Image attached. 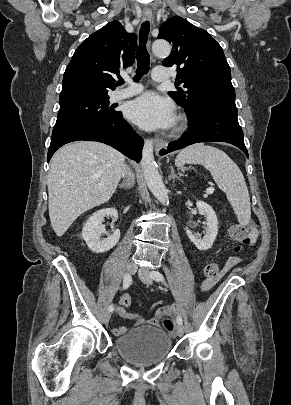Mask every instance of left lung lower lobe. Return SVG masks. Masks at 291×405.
Returning <instances> with one entry per match:
<instances>
[{
	"label": "left lung lower lobe",
	"mask_w": 291,
	"mask_h": 405,
	"mask_svg": "<svg viewBox=\"0 0 291 405\" xmlns=\"http://www.w3.org/2000/svg\"><path fill=\"white\" fill-rule=\"evenodd\" d=\"M237 113L235 98L205 99L200 104L197 114H187L191 131L179 140L171 142L159 154L164 155L194 143L220 141L235 145L248 157Z\"/></svg>",
	"instance_id": "0a47b994"
}]
</instances>
